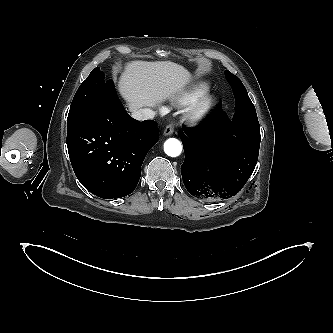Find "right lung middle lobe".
Returning <instances> with one entry per match:
<instances>
[{
	"label": "right lung middle lobe",
	"mask_w": 333,
	"mask_h": 333,
	"mask_svg": "<svg viewBox=\"0 0 333 333\" xmlns=\"http://www.w3.org/2000/svg\"><path fill=\"white\" fill-rule=\"evenodd\" d=\"M112 80H105L104 73L96 67L80 85L77 90L67 118V127H70L89 114L98 98L106 91Z\"/></svg>",
	"instance_id": "obj_1"
}]
</instances>
